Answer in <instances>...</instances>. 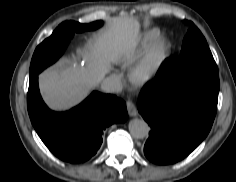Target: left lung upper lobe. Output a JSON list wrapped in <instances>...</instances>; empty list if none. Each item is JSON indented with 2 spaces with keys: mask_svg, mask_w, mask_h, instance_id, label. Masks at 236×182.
Segmentation results:
<instances>
[{
  "mask_svg": "<svg viewBox=\"0 0 236 182\" xmlns=\"http://www.w3.org/2000/svg\"><path fill=\"white\" fill-rule=\"evenodd\" d=\"M183 40L177 59L168 58L164 74L160 78L164 88L175 86H199L219 90V73L215 60L200 30L192 23Z\"/></svg>",
  "mask_w": 236,
  "mask_h": 182,
  "instance_id": "left-lung-upper-lobe-1",
  "label": "left lung upper lobe"
}]
</instances>
